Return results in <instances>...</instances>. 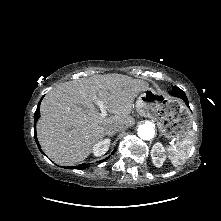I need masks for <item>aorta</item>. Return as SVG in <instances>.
<instances>
[{
    "label": "aorta",
    "mask_w": 221,
    "mask_h": 221,
    "mask_svg": "<svg viewBox=\"0 0 221 221\" xmlns=\"http://www.w3.org/2000/svg\"><path fill=\"white\" fill-rule=\"evenodd\" d=\"M155 135V129L152 123H145L138 127V136L143 140H150Z\"/></svg>",
    "instance_id": "762f6f07"
}]
</instances>
